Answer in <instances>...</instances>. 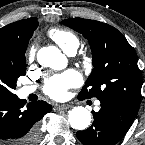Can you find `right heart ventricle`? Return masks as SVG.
<instances>
[{"instance_id": "obj_1", "label": "right heart ventricle", "mask_w": 145, "mask_h": 145, "mask_svg": "<svg viewBox=\"0 0 145 145\" xmlns=\"http://www.w3.org/2000/svg\"><path fill=\"white\" fill-rule=\"evenodd\" d=\"M49 35L58 43V45L64 51L70 47L79 46L78 37L71 31L55 28L49 31Z\"/></svg>"}]
</instances>
